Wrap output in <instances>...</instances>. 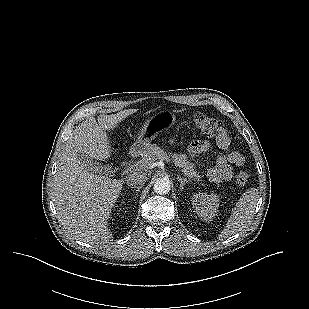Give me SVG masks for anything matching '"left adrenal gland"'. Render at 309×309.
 Wrapping results in <instances>:
<instances>
[{"label": "left adrenal gland", "instance_id": "1", "mask_svg": "<svg viewBox=\"0 0 309 309\" xmlns=\"http://www.w3.org/2000/svg\"><path fill=\"white\" fill-rule=\"evenodd\" d=\"M177 179H178V181H179V183H180V189L183 190V188H184L183 186H184L186 183H188V180L182 178L181 176H177Z\"/></svg>", "mask_w": 309, "mask_h": 309}]
</instances>
